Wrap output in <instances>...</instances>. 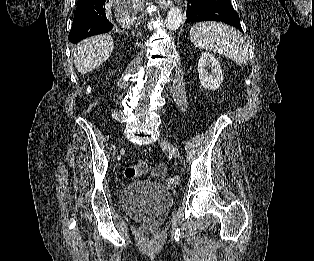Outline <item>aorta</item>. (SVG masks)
I'll return each instance as SVG.
<instances>
[{"instance_id":"1","label":"aorta","mask_w":314,"mask_h":261,"mask_svg":"<svg viewBox=\"0 0 314 261\" xmlns=\"http://www.w3.org/2000/svg\"><path fill=\"white\" fill-rule=\"evenodd\" d=\"M182 19V12L178 7L170 8L166 19L167 28L172 31L177 30L182 23Z\"/></svg>"}]
</instances>
